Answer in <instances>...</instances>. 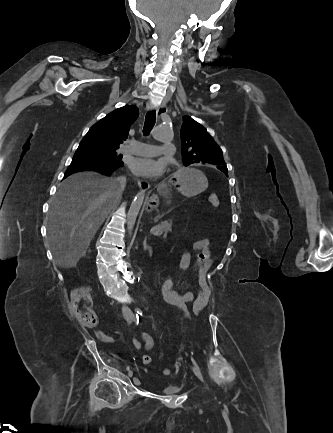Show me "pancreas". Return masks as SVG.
Segmentation results:
<instances>
[{"instance_id":"pancreas-1","label":"pancreas","mask_w":333,"mask_h":433,"mask_svg":"<svg viewBox=\"0 0 333 433\" xmlns=\"http://www.w3.org/2000/svg\"><path fill=\"white\" fill-rule=\"evenodd\" d=\"M153 228L158 231L159 234L164 233V237H166L167 233L172 230V220L163 221L160 224L155 225Z\"/></svg>"}]
</instances>
